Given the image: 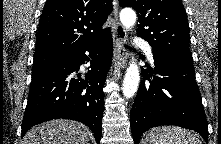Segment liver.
<instances>
[{
  "mask_svg": "<svg viewBox=\"0 0 221 144\" xmlns=\"http://www.w3.org/2000/svg\"><path fill=\"white\" fill-rule=\"evenodd\" d=\"M89 129L76 121L55 119L30 129L23 144H88Z\"/></svg>",
  "mask_w": 221,
  "mask_h": 144,
  "instance_id": "1",
  "label": "liver"
}]
</instances>
